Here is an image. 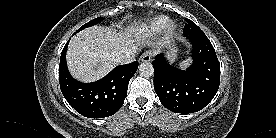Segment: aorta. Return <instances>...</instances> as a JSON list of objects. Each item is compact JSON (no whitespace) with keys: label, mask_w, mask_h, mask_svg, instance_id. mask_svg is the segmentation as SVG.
I'll return each mask as SVG.
<instances>
[{"label":"aorta","mask_w":276,"mask_h":138,"mask_svg":"<svg viewBox=\"0 0 276 138\" xmlns=\"http://www.w3.org/2000/svg\"><path fill=\"white\" fill-rule=\"evenodd\" d=\"M139 73L143 77H150L154 73L153 65L150 62H143L139 66Z\"/></svg>","instance_id":"obj_1"}]
</instances>
